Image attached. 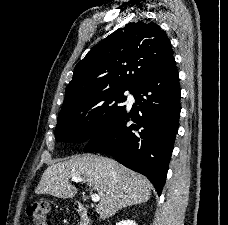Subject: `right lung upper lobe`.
Returning <instances> with one entry per match:
<instances>
[{
    "label": "right lung upper lobe",
    "mask_w": 228,
    "mask_h": 225,
    "mask_svg": "<svg viewBox=\"0 0 228 225\" xmlns=\"http://www.w3.org/2000/svg\"><path fill=\"white\" fill-rule=\"evenodd\" d=\"M173 51L153 22H131L95 45L74 69L63 106L112 87L134 89L161 68Z\"/></svg>",
    "instance_id": "cb5924a9"
}]
</instances>
